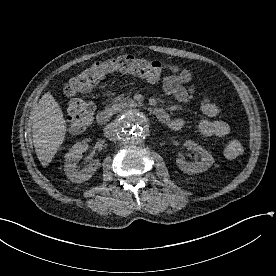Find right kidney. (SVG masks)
I'll return each mask as SVG.
<instances>
[{
	"label": "right kidney",
	"mask_w": 276,
	"mask_h": 276,
	"mask_svg": "<svg viewBox=\"0 0 276 276\" xmlns=\"http://www.w3.org/2000/svg\"><path fill=\"white\" fill-rule=\"evenodd\" d=\"M88 149L87 142H77L65 155L64 171L68 179L74 183H81L89 180L100 166L98 159L90 162L85 168L78 169L77 163L82 158V154Z\"/></svg>",
	"instance_id": "right-kidney-1"
}]
</instances>
